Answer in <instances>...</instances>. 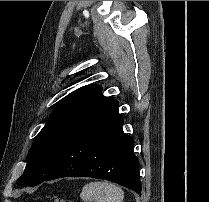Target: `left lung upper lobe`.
Wrapping results in <instances>:
<instances>
[{
  "label": "left lung upper lobe",
  "instance_id": "left-lung-upper-lobe-1",
  "mask_svg": "<svg viewBox=\"0 0 209 202\" xmlns=\"http://www.w3.org/2000/svg\"><path fill=\"white\" fill-rule=\"evenodd\" d=\"M113 98L102 95L99 85L81 87L64 97L36 136L24 173L17 183L36 186L53 171L66 144L78 128Z\"/></svg>",
  "mask_w": 209,
  "mask_h": 202
}]
</instances>
